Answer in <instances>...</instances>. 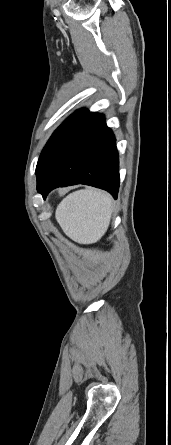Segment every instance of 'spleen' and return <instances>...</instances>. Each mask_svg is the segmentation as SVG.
Wrapping results in <instances>:
<instances>
[{"label": "spleen", "instance_id": "3e777b00", "mask_svg": "<svg viewBox=\"0 0 171 445\" xmlns=\"http://www.w3.org/2000/svg\"><path fill=\"white\" fill-rule=\"evenodd\" d=\"M112 210L113 200L108 193L88 188L66 196L57 206L55 218L69 238L92 244L107 231Z\"/></svg>", "mask_w": 171, "mask_h": 445}]
</instances>
